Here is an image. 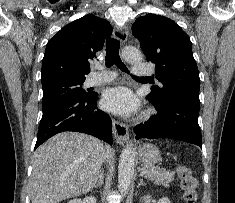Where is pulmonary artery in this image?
<instances>
[{"label":"pulmonary artery","instance_id":"e3ab8cb5","mask_svg":"<svg viewBox=\"0 0 235 203\" xmlns=\"http://www.w3.org/2000/svg\"><path fill=\"white\" fill-rule=\"evenodd\" d=\"M97 68L99 69V71L91 73L86 79L87 86L101 85L114 80L116 76L114 72L106 70L102 67H97ZM133 73L139 76H145V75H150L151 70L146 64L139 63L134 65Z\"/></svg>","mask_w":235,"mask_h":203}]
</instances>
